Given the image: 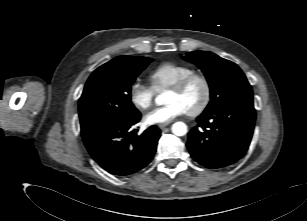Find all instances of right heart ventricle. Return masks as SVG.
<instances>
[{"mask_svg":"<svg viewBox=\"0 0 307 221\" xmlns=\"http://www.w3.org/2000/svg\"><path fill=\"white\" fill-rule=\"evenodd\" d=\"M194 69L186 64L164 62L155 67L149 74L153 89L159 91L168 88L181 78L194 73Z\"/></svg>","mask_w":307,"mask_h":221,"instance_id":"1","label":"right heart ventricle"}]
</instances>
